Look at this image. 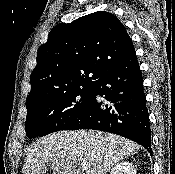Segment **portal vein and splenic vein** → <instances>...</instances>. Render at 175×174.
I'll list each match as a JSON object with an SVG mask.
<instances>
[{"label": "portal vein and splenic vein", "instance_id": "1", "mask_svg": "<svg viewBox=\"0 0 175 174\" xmlns=\"http://www.w3.org/2000/svg\"><path fill=\"white\" fill-rule=\"evenodd\" d=\"M82 170H83V171L87 170V165H86V164H83V165H82Z\"/></svg>", "mask_w": 175, "mask_h": 174}]
</instances>
